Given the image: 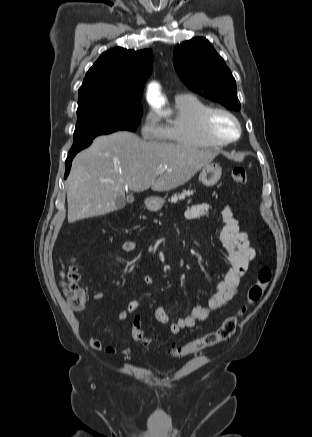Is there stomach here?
Returning <instances> with one entry per match:
<instances>
[{
  "label": "stomach",
  "instance_id": "1",
  "mask_svg": "<svg viewBox=\"0 0 312 437\" xmlns=\"http://www.w3.org/2000/svg\"><path fill=\"white\" fill-rule=\"evenodd\" d=\"M222 174V168L217 163H209L202 168L199 178L201 182L211 187L217 184ZM164 200L162 198L153 197L148 200L146 206L151 211H157L163 206Z\"/></svg>",
  "mask_w": 312,
  "mask_h": 437
}]
</instances>
